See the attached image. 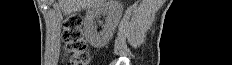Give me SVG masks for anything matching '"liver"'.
Here are the masks:
<instances>
[{
    "instance_id": "1",
    "label": "liver",
    "mask_w": 232,
    "mask_h": 65,
    "mask_svg": "<svg viewBox=\"0 0 232 65\" xmlns=\"http://www.w3.org/2000/svg\"><path fill=\"white\" fill-rule=\"evenodd\" d=\"M100 0H59V5L65 14L79 12L90 7Z\"/></svg>"
}]
</instances>
